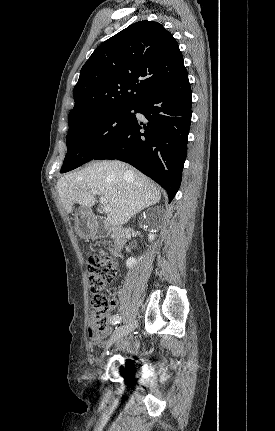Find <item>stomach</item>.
<instances>
[{
  "label": "stomach",
  "instance_id": "stomach-1",
  "mask_svg": "<svg viewBox=\"0 0 275 431\" xmlns=\"http://www.w3.org/2000/svg\"><path fill=\"white\" fill-rule=\"evenodd\" d=\"M75 231L82 238H91L95 235L91 213L88 210L80 209L75 213Z\"/></svg>",
  "mask_w": 275,
  "mask_h": 431
}]
</instances>
